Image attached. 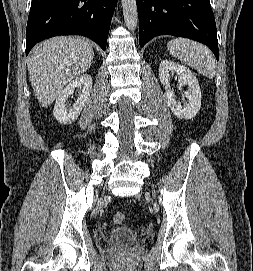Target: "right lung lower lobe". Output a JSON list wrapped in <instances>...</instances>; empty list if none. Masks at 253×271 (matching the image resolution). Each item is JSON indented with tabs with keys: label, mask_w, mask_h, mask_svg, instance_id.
<instances>
[{
	"label": "right lung lower lobe",
	"mask_w": 253,
	"mask_h": 271,
	"mask_svg": "<svg viewBox=\"0 0 253 271\" xmlns=\"http://www.w3.org/2000/svg\"><path fill=\"white\" fill-rule=\"evenodd\" d=\"M117 0H32L26 56L38 42L58 35H82L106 49Z\"/></svg>",
	"instance_id": "1"
}]
</instances>
